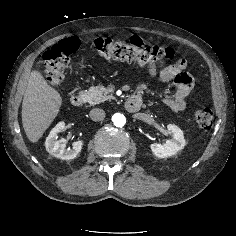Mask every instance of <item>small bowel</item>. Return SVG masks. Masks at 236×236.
Listing matches in <instances>:
<instances>
[{
    "instance_id": "1",
    "label": "small bowel",
    "mask_w": 236,
    "mask_h": 236,
    "mask_svg": "<svg viewBox=\"0 0 236 236\" xmlns=\"http://www.w3.org/2000/svg\"><path fill=\"white\" fill-rule=\"evenodd\" d=\"M130 41L141 42L138 38H131ZM187 63L184 59L177 61L175 64L167 66L160 71L156 66L150 65L148 72L150 76L158 78L162 82L172 81L176 87V93L173 97L164 99V103L175 112H182L187 107L186 98L193 87V78L186 72ZM146 84H140L137 87V96L146 89Z\"/></svg>"
}]
</instances>
